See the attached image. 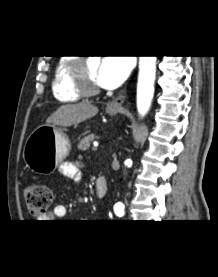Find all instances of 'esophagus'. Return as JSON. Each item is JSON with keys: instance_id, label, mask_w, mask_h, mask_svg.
<instances>
[{"instance_id": "34e87169", "label": "esophagus", "mask_w": 218, "mask_h": 277, "mask_svg": "<svg viewBox=\"0 0 218 277\" xmlns=\"http://www.w3.org/2000/svg\"><path fill=\"white\" fill-rule=\"evenodd\" d=\"M126 99V95L125 94H120L119 96H117L116 98H114L113 100H111L108 104L107 107L111 110H118L121 108L123 102Z\"/></svg>"}]
</instances>
